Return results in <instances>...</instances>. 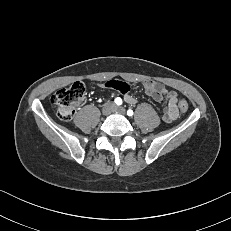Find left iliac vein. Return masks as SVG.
<instances>
[{
	"instance_id": "4c4485c4",
	"label": "left iliac vein",
	"mask_w": 231,
	"mask_h": 231,
	"mask_svg": "<svg viewBox=\"0 0 231 231\" xmlns=\"http://www.w3.org/2000/svg\"><path fill=\"white\" fill-rule=\"evenodd\" d=\"M113 111L115 113L122 114V115H124L126 113L125 108L120 107V106H115L114 109H113Z\"/></svg>"
}]
</instances>
